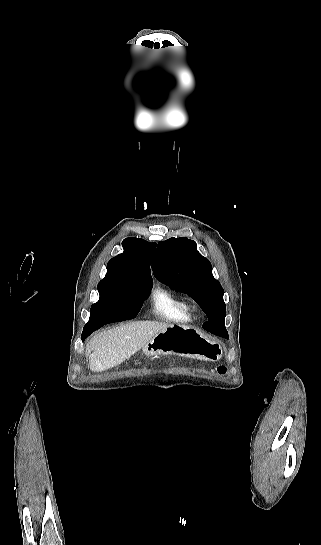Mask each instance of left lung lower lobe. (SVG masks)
<instances>
[{
    "label": "left lung lower lobe",
    "mask_w": 321,
    "mask_h": 545,
    "mask_svg": "<svg viewBox=\"0 0 321 545\" xmlns=\"http://www.w3.org/2000/svg\"><path fill=\"white\" fill-rule=\"evenodd\" d=\"M208 321L203 324V328L213 334L220 335L226 333L224 326L225 316L217 311L208 312Z\"/></svg>",
    "instance_id": "obj_1"
}]
</instances>
